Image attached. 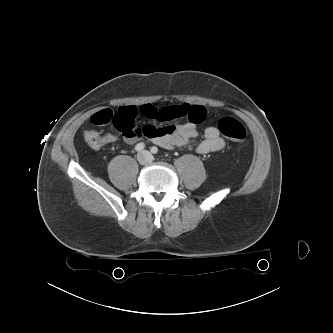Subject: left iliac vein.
I'll list each match as a JSON object with an SVG mask.
<instances>
[{
  "label": "left iliac vein",
  "instance_id": "4c4485c4",
  "mask_svg": "<svg viewBox=\"0 0 333 333\" xmlns=\"http://www.w3.org/2000/svg\"><path fill=\"white\" fill-rule=\"evenodd\" d=\"M145 153L147 154L149 160L152 161V157L150 156V154L147 151H145Z\"/></svg>",
  "mask_w": 333,
  "mask_h": 333
}]
</instances>
